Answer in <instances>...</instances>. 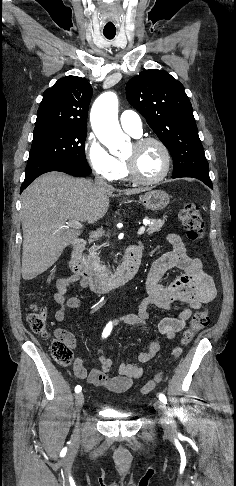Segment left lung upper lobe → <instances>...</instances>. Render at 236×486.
<instances>
[{
    "label": "left lung upper lobe",
    "instance_id": "obj_1",
    "mask_svg": "<svg viewBox=\"0 0 236 486\" xmlns=\"http://www.w3.org/2000/svg\"><path fill=\"white\" fill-rule=\"evenodd\" d=\"M126 95L169 149L174 162L172 177L210 180L193 109L183 85L166 71L150 69L128 81Z\"/></svg>",
    "mask_w": 236,
    "mask_h": 486
}]
</instances>
